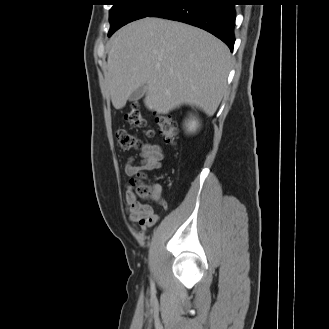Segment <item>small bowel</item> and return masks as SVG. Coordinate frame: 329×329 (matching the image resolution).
<instances>
[{"mask_svg":"<svg viewBox=\"0 0 329 329\" xmlns=\"http://www.w3.org/2000/svg\"><path fill=\"white\" fill-rule=\"evenodd\" d=\"M136 159L139 160L138 163L135 162ZM163 160L164 153L158 145L145 144L142 146L141 152L137 158H130L126 162L124 170L128 176L144 171L157 170L161 168ZM153 188L160 196L162 187L157 184ZM125 200L126 213L129 221L135 226L138 224L141 231L145 232L148 227L158 222L159 218L154 214L152 208L137 201L129 188L126 190Z\"/></svg>","mask_w":329,"mask_h":329,"instance_id":"1","label":"small bowel"}]
</instances>
